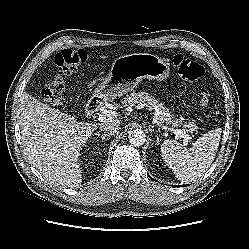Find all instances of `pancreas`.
Returning <instances> with one entry per match:
<instances>
[{"instance_id": "1", "label": "pancreas", "mask_w": 249, "mask_h": 249, "mask_svg": "<svg viewBox=\"0 0 249 249\" xmlns=\"http://www.w3.org/2000/svg\"><path fill=\"white\" fill-rule=\"evenodd\" d=\"M122 104L124 107L135 106L137 104L145 105L150 110H157L158 120L160 123L172 124L174 127L180 126L182 124V118L175 119V117L170 114L169 109H167L162 103L146 92H132L129 96L124 98ZM186 126L192 130L196 128V125L193 122H189Z\"/></svg>"}]
</instances>
